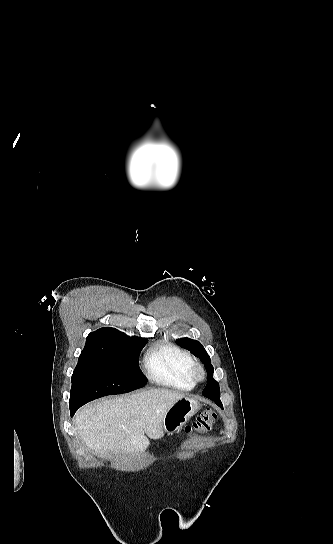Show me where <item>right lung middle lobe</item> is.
Instances as JSON below:
<instances>
[{
  "instance_id": "obj_1",
  "label": "right lung middle lobe",
  "mask_w": 333,
  "mask_h": 544,
  "mask_svg": "<svg viewBox=\"0 0 333 544\" xmlns=\"http://www.w3.org/2000/svg\"><path fill=\"white\" fill-rule=\"evenodd\" d=\"M146 342L122 339L103 353L81 352L72 375L69 407L144 387L146 378L139 370L138 357Z\"/></svg>"
}]
</instances>
